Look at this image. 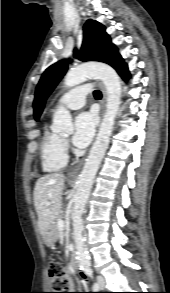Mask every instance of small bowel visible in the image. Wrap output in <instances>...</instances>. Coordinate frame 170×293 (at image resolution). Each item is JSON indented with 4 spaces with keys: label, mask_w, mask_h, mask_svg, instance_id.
I'll use <instances>...</instances> for the list:
<instances>
[{
    "label": "small bowel",
    "mask_w": 170,
    "mask_h": 293,
    "mask_svg": "<svg viewBox=\"0 0 170 293\" xmlns=\"http://www.w3.org/2000/svg\"><path fill=\"white\" fill-rule=\"evenodd\" d=\"M81 278H82L83 281L86 280V276H85L84 274H81ZM71 283H72L73 285H75V281H71Z\"/></svg>",
    "instance_id": "c3829d8e"
}]
</instances>
